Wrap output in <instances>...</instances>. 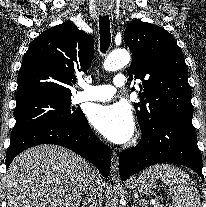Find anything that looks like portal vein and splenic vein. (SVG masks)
<instances>
[{
  "instance_id": "portal-vein-and-splenic-vein-1",
  "label": "portal vein and splenic vein",
  "mask_w": 206,
  "mask_h": 207,
  "mask_svg": "<svg viewBox=\"0 0 206 207\" xmlns=\"http://www.w3.org/2000/svg\"><path fill=\"white\" fill-rule=\"evenodd\" d=\"M143 205V203H141ZM152 204L154 205V207H158L156 204H155V201L152 202ZM158 204V203H157Z\"/></svg>"
}]
</instances>
